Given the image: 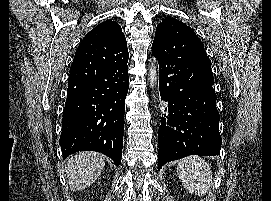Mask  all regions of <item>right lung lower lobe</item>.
I'll return each instance as SVG.
<instances>
[{
    "label": "right lung lower lobe",
    "instance_id": "98d812e1",
    "mask_svg": "<svg viewBox=\"0 0 271 201\" xmlns=\"http://www.w3.org/2000/svg\"><path fill=\"white\" fill-rule=\"evenodd\" d=\"M113 40H82L69 74L59 144L63 159L97 151L120 165L129 54Z\"/></svg>",
    "mask_w": 271,
    "mask_h": 201
}]
</instances>
